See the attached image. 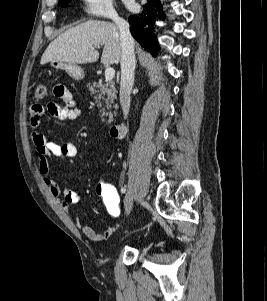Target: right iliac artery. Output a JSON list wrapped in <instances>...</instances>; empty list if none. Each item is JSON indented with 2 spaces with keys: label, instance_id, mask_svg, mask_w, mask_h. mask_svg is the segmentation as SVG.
<instances>
[{
  "label": "right iliac artery",
  "instance_id": "82829eb1",
  "mask_svg": "<svg viewBox=\"0 0 267 301\" xmlns=\"http://www.w3.org/2000/svg\"><path fill=\"white\" fill-rule=\"evenodd\" d=\"M125 192H126V188L125 187L121 188V193H125Z\"/></svg>",
  "mask_w": 267,
  "mask_h": 301
}]
</instances>
